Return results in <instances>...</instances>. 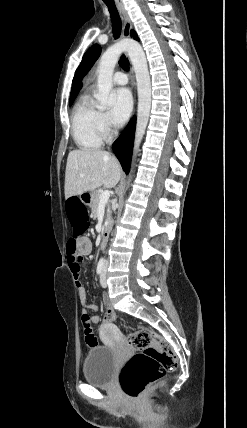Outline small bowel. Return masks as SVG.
<instances>
[{
  "instance_id": "small-bowel-1",
  "label": "small bowel",
  "mask_w": 247,
  "mask_h": 428,
  "mask_svg": "<svg viewBox=\"0 0 247 428\" xmlns=\"http://www.w3.org/2000/svg\"><path fill=\"white\" fill-rule=\"evenodd\" d=\"M91 251H92V243L90 239L86 237H84L83 239H79L77 242L76 254L68 253V262H69L71 271L75 276L78 297H79L80 303L83 306L82 318L87 317L92 324H98L100 322V317L98 315H92V316L88 315V310L97 311L98 306L96 304H92L87 301L86 288L83 285V283L80 281V259H82L83 256L89 255ZM103 302L106 306V309H109L112 312H114L111 308L110 300L106 295L103 296Z\"/></svg>"
}]
</instances>
